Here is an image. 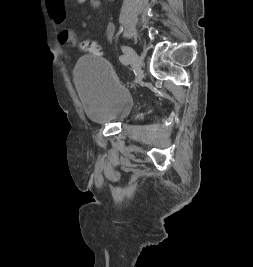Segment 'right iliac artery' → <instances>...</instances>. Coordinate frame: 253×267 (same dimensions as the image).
<instances>
[{"label":"right iliac artery","instance_id":"82829eb1","mask_svg":"<svg viewBox=\"0 0 253 267\" xmlns=\"http://www.w3.org/2000/svg\"><path fill=\"white\" fill-rule=\"evenodd\" d=\"M119 60L123 65H128L130 62V59L126 55H121Z\"/></svg>","mask_w":253,"mask_h":267}]
</instances>
